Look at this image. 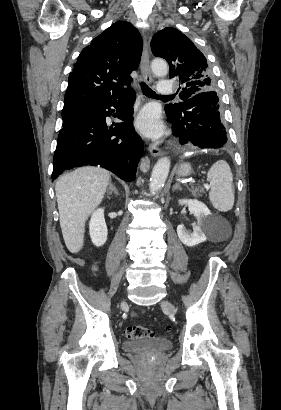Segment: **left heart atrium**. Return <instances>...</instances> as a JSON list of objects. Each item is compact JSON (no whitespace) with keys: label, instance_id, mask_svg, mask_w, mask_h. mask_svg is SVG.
Returning <instances> with one entry per match:
<instances>
[{"label":"left heart atrium","instance_id":"obj_1","mask_svg":"<svg viewBox=\"0 0 281 410\" xmlns=\"http://www.w3.org/2000/svg\"><path fill=\"white\" fill-rule=\"evenodd\" d=\"M136 126L151 137H158L163 132V124L158 112L154 108H145L138 116Z\"/></svg>","mask_w":281,"mask_h":410}]
</instances>
